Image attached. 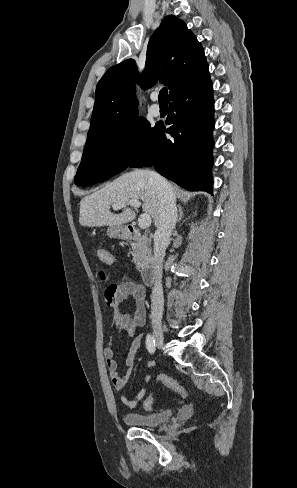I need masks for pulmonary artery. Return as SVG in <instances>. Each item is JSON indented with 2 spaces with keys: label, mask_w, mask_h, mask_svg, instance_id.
Returning a JSON list of instances; mask_svg holds the SVG:
<instances>
[{
  "label": "pulmonary artery",
  "mask_w": 297,
  "mask_h": 488,
  "mask_svg": "<svg viewBox=\"0 0 297 488\" xmlns=\"http://www.w3.org/2000/svg\"><path fill=\"white\" fill-rule=\"evenodd\" d=\"M151 98H152V100H157V99H158V95H157V94H153V95L151 96ZM150 113H151L153 116H155V117L160 116L161 111H160L159 106H158V105H153V106H151V108H150Z\"/></svg>",
  "instance_id": "e3ab8cb5"
}]
</instances>
